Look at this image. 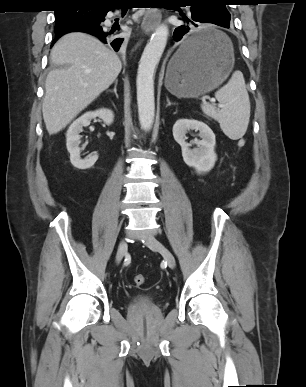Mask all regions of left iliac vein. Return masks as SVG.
Masks as SVG:
<instances>
[{
  "label": "left iliac vein",
  "instance_id": "4c4485c4",
  "mask_svg": "<svg viewBox=\"0 0 306 387\" xmlns=\"http://www.w3.org/2000/svg\"><path fill=\"white\" fill-rule=\"evenodd\" d=\"M145 245L152 250L158 251L163 256L168 266L172 269L175 268L176 262L173 254L155 237L149 236L145 240Z\"/></svg>",
  "mask_w": 306,
  "mask_h": 387
}]
</instances>
